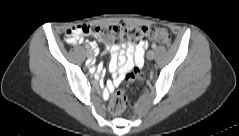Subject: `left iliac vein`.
<instances>
[{"label": "left iliac vein", "instance_id": "left-iliac-vein-1", "mask_svg": "<svg viewBox=\"0 0 239 136\" xmlns=\"http://www.w3.org/2000/svg\"><path fill=\"white\" fill-rule=\"evenodd\" d=\"M154 52L152 50L148 51L147 53V59L152 60L154 59Z\"/></svg>", "mask_w": 239, "mask_h": 136}]
</instances>
